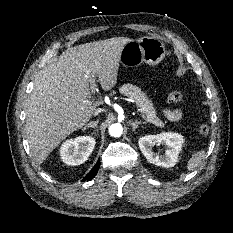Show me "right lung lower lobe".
Here are the masks:
<instances>
[{
	"label": "right lung lower lobe",
	"instance_id": "1",
	"mask_svg": "<svg viewBox=\"0 0 233 233\" xmlns=\"http://www.w3.org/2000/svg\"><path fill=\"white\" fill-rule=\"evenodd\" d=\"M100 167V161L98 160V162L96 163V165L92 168V170L85 176L84 180H91L95 177V175L97 174L98 170Z\"/></svg>",
	"mask_w": 233,
	"mask_h": 233
}]
</instances>
